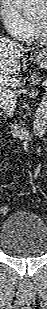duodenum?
<instances>
[{
    "label": "duodenum",
    "mask_w": 47,
    "mask_h": 309,
    "mask_svg": "<svg viewBox=\"0 0 47 309\" xmlns=\"http://www.w3.org/2000/svg\"><path fill=\"white\" fill-rule=\"evenodd\" d=\"M44 126H45V116L43 114H39L36 121V127H35L36 132L40 134L43 131ZM11 128L17 137L21 139H26L28 131L25 128L14 123H11Z\"/></svg>",
    "instance_id": "1"
}]
</instances>
